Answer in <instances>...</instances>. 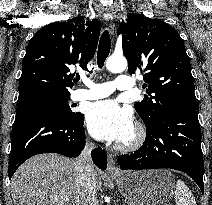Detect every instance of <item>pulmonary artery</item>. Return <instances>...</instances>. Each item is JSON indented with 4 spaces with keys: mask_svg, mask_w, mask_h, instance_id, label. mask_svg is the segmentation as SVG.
<instances>
[{
    "mask_svg": "<svg viewBox=\"0 0 212 205\" xmlns=\"http://www.w3.org/2000/svg\"><path fill=\"white\" fill-rule=\"evenodd\" d=\"M86 88L77 89L73 94L74 100H95L109 96L115 90H129L133 88V79L124 74L118 75L114 81L95 83L84 79Z\"/></svg>",
    "mask_w": 212,
    "mask_h": 205,
    "instance_id": "pulmonary-artery-1",
    "label": "pulmonary artery"
}]
</instances>
